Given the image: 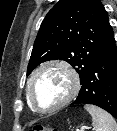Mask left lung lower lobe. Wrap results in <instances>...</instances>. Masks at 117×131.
Returning <instances> with one entry per match:
<instances>
[{"instance_id": "obj_1", "label": "left lung lower lobe", "mask_w": 117, "mask_h": 131, "mask_svg": "<svg viewBox=\"0 0 117 131\" xmlns=\"http://www.w3.org/2000/svg\"><path fill=\"white\" fill-rule=\"evenodd\" d=\"M93 104L117 119V47L112 34L108 46L89 67L72 104Z\"/></svg>"}]
</instances>
